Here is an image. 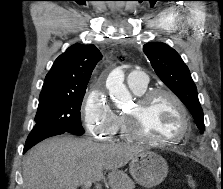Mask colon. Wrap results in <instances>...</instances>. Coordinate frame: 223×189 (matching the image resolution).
I'll use <instances>...</instances> for the list:
<instances>
[{"label": "colon", "mask_w": 223, "mask_h": 189, "mask_svg": "<svg viewBox=\"0 0 223 189\" xmlns=\"http://www.w3.org/2000/svg\"><path fill=\"white\" fill-rule=\"evenodd\" d=\"M187 182H188V185L191 189H196L197 188L196 180L192 175H190V174L187 175Z\"/></svg>", "instance_id": "1"}]
</instances>
